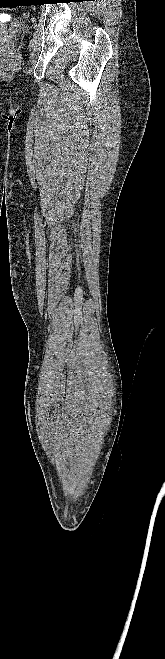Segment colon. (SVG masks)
Segmentation results:
<instances>
[{"label": "colon", "mask_w": 165, "mask_h": 659, "mask_svg": "<svg viewBox=\"0 0 165 659\" xmlns=\"http://www.w3.org/2000/svg\"><path fill=\"white\" fill-rule=\"evenodd\" d=\"M5 44H6L7 46H8V45L10 44V42H9V41H7V42H6Z\"/></svg>", "instance_id": "1"}]
</instances>
